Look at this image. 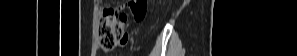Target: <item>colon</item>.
Returning <instances> with one entry per match:
<instances>
[{"label":"colon","mask_w":297,"mask_h":56,"mask_svg":"<svg viewBox=\"0 0 297 56\" xmlns=\"http://www.w3.org/2000/svg\"><path fill=\"white\" fill-rule=\"evenodd\" d=\"M129 9L136 21L144 19L147 9L146 0H133L129 4ZM127 14L122 8L106 7L98 23V40L99 50L109 52L119 46V36L124 32V23Z\"/></svg>","instance_id":"1"}]
</instances>
